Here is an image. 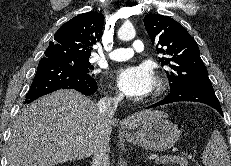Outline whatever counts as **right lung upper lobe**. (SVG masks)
<instances>
[{"mask_svg": "<svg viewBox=\"0 0 231 166\" xmlns=\"http://www.w3.org/2000/svg\"><path fill=\"white\" fill-rule=\"evenodd\" d=\"M103 15L88 12L77 15L63 24L49 42L45 58L56 60L58 57L89 59L92 46L102 37Z\"/></svg>", "mask_w": 231, "mask_h": 166, "instance_id": "obj_1", "label": "right lung upper lobe"}]
</instances>
